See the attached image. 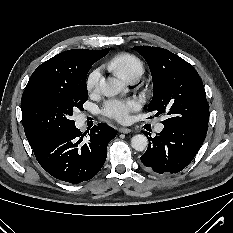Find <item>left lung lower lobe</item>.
Returning a JSON list of instances; mask_svg holds the SVG:
<instances>
[{
  "mask_svg": "<svg viewBox=\"0 0 233 233\" xmlns=\"http://www.w3.org/2000/svg\"><path fill=\"white\" fill-rule=\"evenodd\" d=\"M141 156L148 170L158 174L177 173L183 170L195 157L206 134L187 126L164 124L163 130L154 138Z\"/></svg>",
  "mask_w": 233,
  "mask_h": 233,
  "instance_id": "0a47b994",
  "label": "left lung lower lobe"
}]
</instances>
